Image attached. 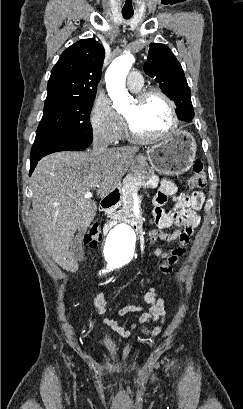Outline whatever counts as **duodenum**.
<instances>
[{"label": "duodenum", "instance_id": "410a0bca", "mask_svg": "<svg viewBox=\"0 0 243 409\" xmlns=\"http://www.w3.org/2000/svg\"><path fill=\"white\" fill-rule=\"evenodd\" d=\"M120 198V193L118 190H113L111 193H109L106 197H104L101 202H100V209L101 210H109L113 208L118 202ZM128 223L135 229L137 230L138 224L135 220H129ZM113 223H108L105 226V231H108L112 227Z\"/></svg>", "mask_w": 243, "mask_h": 409}]
</instances>
